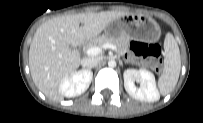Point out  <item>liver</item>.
<instances>
[{
	"label": "liver",
	"instance_id": "obj_1",
	"mask_svg": "<svg viewBox=\"0 0 203 123\" xmlns=\"http://www.w3.org/2000/svg\"><path fill=\"white\" fill-rule=\"evenodd\" d=\"M127 14L125 11L80 13L57 16L43 23L36 30L29 50V66L36 87L49 100L61 101L60 83L81 63L76 47L97 37Z\"/></svg>",
	"mask_w": 203,
	"mask_h": 123
}]
</instances>
